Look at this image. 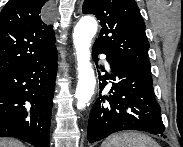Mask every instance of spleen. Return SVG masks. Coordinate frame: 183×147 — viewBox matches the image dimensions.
I'll return each instance as SVG.
<instances>
[{
	"instance_id": "obj_1",
	"label": "spleen",
	"mask_w": 183,
	"mask_h": 147,
	"mask_svg": "<svg viewBox=\"0 0 183 147\" xmlns=\"http://www.w3.org/2000/svg\"><path fill=\"white\" fill-rule=\"evenodd\" d=\"M101 147H160L151 137L138 132H123L109 136Z\"/></svg>"
}]
</instances>
